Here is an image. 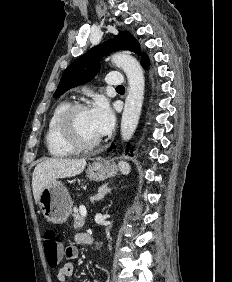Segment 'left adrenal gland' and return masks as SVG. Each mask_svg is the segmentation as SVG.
Masks as SVG:
<instances>
[{
  "instance_id": "obj_1",
  "label": "left adrenal gland",
  "mask_w": 232,
  "mask_h": 282,
  "mask_svg": "<svg viewBox=\"0 0 232 282\" xmlns=\"http://www.w3.org/2000/svg\"><path fill=\"white\" fill-rule=\"evenodd\" d=\"M111 192V188L108 187V183L102 185L99 189H98V193L97 195L94 197L93 201H100L102 200L105 195L107 193Z\"/></svg>"
}]
</instances>
